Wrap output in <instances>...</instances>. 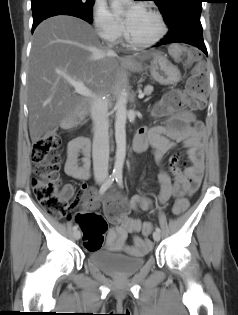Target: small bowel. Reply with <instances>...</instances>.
Segmentation results:
<instances>
[{"instance_id":"1","label":"small bowel","mask_w":238,"mask_h":315,"mask_svg":"<svg viewBox=\"0 0 238 315\" xmlns=\"http://www.w3.org/2000/svg\"><path fill=\"white\" fill-rule=\"evenodd\" d=\"M205 137V129L200 122L192 121L191 124L182 129H169L162 125L152 126L150 128H141L134 137L137 142L139 152H143L150 148L155 156L156 161L161 165L165 155L174 147V142H183L187 149L188 157L191 165L184 171H181V156L176 153L170 160L169 168L173 174V182L168 172L161 169L158 175L159 195L157 202L164 204L177 196L191 195L199 186L203 171V140ZM80 155L81 158H80ZM91 158H90V142L86 138H78L71 141L67 148L65 172L68 176L79 180L87 181L90 178ZM74 193L72 185H65L60 196L69 200ZM83 193V191H82ZM82 194L75 203H78ZM89 199H85L86 210H93L98 204L94 199V204H89ZM127 207L131 210L141 211L147 210L151 206V202L140 197L133 196L127 201ZM144 223L140 219H123L119 225L112 227L108 231L107 243L110 249H119L128 233L139 232ZM152 247L149 238H141L137 235L133 237V245L126 248L130 255H143Z\"/></svg>"}]
</instances>
